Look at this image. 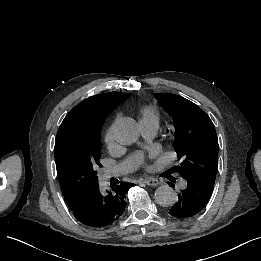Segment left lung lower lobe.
<instances>
[{"mask_svg": "<svg viewBox=\"0 0 261 261\" xmlns=\"http://www.w3.org/2000/svg\"><path fill=\"white\" fill-rule=\"evenodd\" d=\"M183 189L178 194V201L169 210V214L177 218H186L199 213L209 201L214 183L205 181L194 174H184Z\"/></svg>", "mask_w": 261, "mask_h": 261, "instance_id": "left-lung-lower-lobe-1", "label": "left lung lower lobe"}]
</instances>
